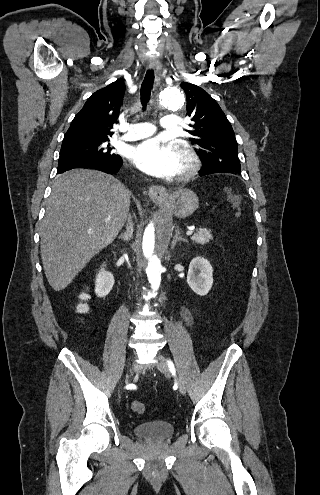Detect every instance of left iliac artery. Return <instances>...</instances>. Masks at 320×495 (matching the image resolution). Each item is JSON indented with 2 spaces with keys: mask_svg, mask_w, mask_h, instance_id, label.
Returning a JSON list of instances; mask_svg holds the SVG:
<instances>
[{
  "mask_svg": "<svg viewBox=\"0 0 320 495\" xmlns=\"http://www.w3.org/2000/svg\"><path fill=\"white\" fill-rule=\"evenodd\" d=\"M168 365H169V368H170L171 372L174 373L175 372V368H174V365H173L172 361L168 360Z\"/></svg>",
  "mask_w": 320,
  "mask_h": 495,
  "instance_id": "obj_1",
  "label": "left iliac artery"
}]
</instances>
